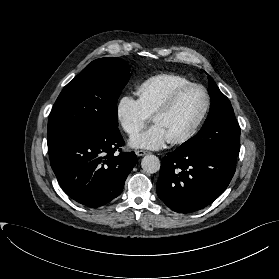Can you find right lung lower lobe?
Wrapping results in <instances>:
<instances>
[{
    "label": "right lung lower lobe",
    "mask_w": 279,
    "mask_h": 279,
    "mask_svg": "<svg viewBox=\"0 0 279 279\" xmlns=\"http://www.w3.org/2000/svg\"><path fill=\"white\" fill-rule=\"evenodd\" d=\"M119 130H105L64 140L48 147L50 164L64 192L91 208L110 203L123 190L137 163L134 152H120Z\"/></svg>",
    "instance_id": "98d812e1"
}]
</instances>
